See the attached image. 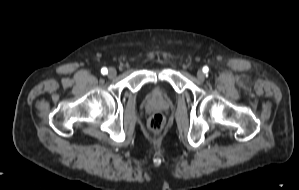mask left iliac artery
<instances>
[{"label":"left iliac artery","mask_w":299,"mask_h":190,"mask_svg":"<svg viewBox=\"0 0 299 190\" xmlns=\"http://www.w3.org/2000/svg\"><path fill=\"white\" fill-rule=\"evenodd\" d=\"M209 71V68L207 66L203 67V72L207 73Z\"/></svg>","instance_id":"1"}]
</instances>
